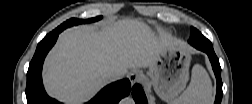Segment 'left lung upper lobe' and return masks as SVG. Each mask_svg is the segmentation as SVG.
<instances>
[{"label":"left lung upper lobe","mask_w":252,"mask_h":104,"mask_svg":"<svg viewBox=\"0 0 252 104\" xmlns=\"http://www.w3.org/2000/svg\"><path fill=\"white\" fill-rule=\"evenodd\" d=\"M197 33H199V31L197 29H195V28L192 27L191 28V36H190V38H195ZM204 50H213V46H212L211 42L208 43V44L204 43Z\"/></svg>","instance_id":"5c2ea615"}]
</instances>
